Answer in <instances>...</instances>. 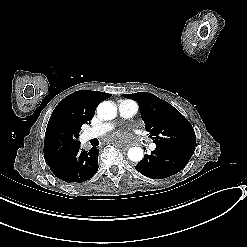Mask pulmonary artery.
Returning a JSON list of instances; mask_svg holds the SVG:
<instances>
[{"mask_svg":"<svg viewBox=\"0 0 247 247\" xmlns=\"http://www.w3.org/2000/svg\"><path fill=\"white\" fill-rule=\"evenodd\" d=\"M137 111V108L129 105V104H121L119 105V113L123 117H130L133 116ZM114 127V124L112 121L107 120L104 122V124H97L94 126V128H89L84 131H82L80 135L81 142L85 143L93 138H95L97 135H101L104 133L105 130L110 131ZM148 149H150L153 152L158 151L159 146L153 141L148 142L147 144Z\"/></svg>","mask_w":247,"mask_h":247,"instance_id":"obj_1","label":"pulmonary artery"}]
</instances>
